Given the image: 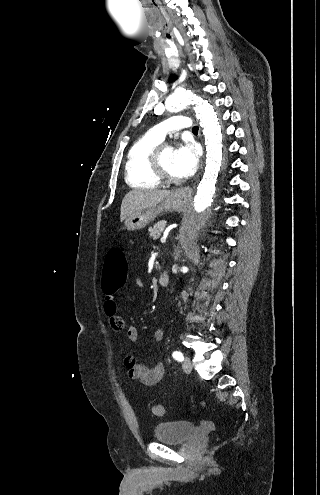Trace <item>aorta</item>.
<instances>
[{"mask_svg":"<svg viewBox=\"0 0 320 495\" xmlns=\"http://www.w3.org/2000/svg\"><path fill=\"white\" fill-rule=\"evenodd\" d=\"M195 106L197 118L203 129L206 145L205 173L197 188L193 204L186 212L180 229V244L187 247L196 243L209 219L216 213L214 191L222 162L223 137L220 122L213 106L198 99L188 90H177L165 101V108L171 113Z\"/></svg>","mask_w":320,"mask_h":495,"instance_id":"aorta-1","label":"aorta"}]
</instances>
